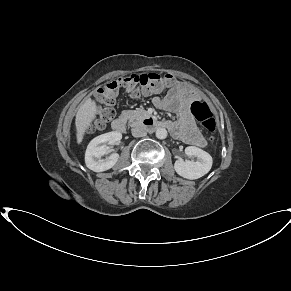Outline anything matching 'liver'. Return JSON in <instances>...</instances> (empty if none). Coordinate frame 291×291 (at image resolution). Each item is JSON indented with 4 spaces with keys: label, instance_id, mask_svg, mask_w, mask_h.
<instances>
[{
    "label": "liver",
    "instance_id": "obj_1",
    "mask_svg": "<svg viewBox=\"0 0 291 291\" xmlns=\"http://www.w3.org/2000/svg\"><path fill=\"white\" fill-rule=\"evenodd\" d=\"M98 112L97 104L91 98L87 99L79 108L76 118V141L81 144L86 130L91 126Z\"/></svg>",
    "mask_w": 291,
    "mask_h": 291
}]
</instances>
